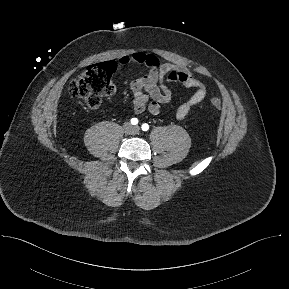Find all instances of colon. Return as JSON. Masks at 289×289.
<instances>
[{
  "label": "colon",
  "instance_id": "colon-1",
  "mask_svg": "<svg viewBox=\"0 0 289 289\" xmlns=\"http://www.w3.org/2000/svg\"><path fill=\"white\" fill-rule=\"evenodd\" d=\"M115 65L111 62L100 63L89 66L81 72L69 85V93L74 98L84 99L91 109H97L104 97L114 92V85L111 81ZM211 105L221 108V100L213 96Z\"/></svg>",
  "mask_w": 289,
  "mask_h": 289
}]
</instances>
